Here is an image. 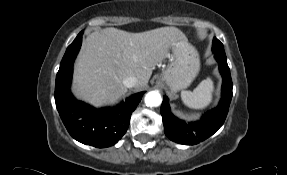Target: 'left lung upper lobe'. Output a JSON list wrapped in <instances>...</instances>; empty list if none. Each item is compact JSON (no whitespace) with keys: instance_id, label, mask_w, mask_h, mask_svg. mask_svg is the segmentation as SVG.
<instances>
[{"instance_id":"obj_1","label":"left lung upper lobe","mask_w":287,"mask_h":175,"mask_svg":"<svg viewBox=\"0 0 287 175\" xmlns=\"http://www.w3.org/2000/svg\"><path fill=\"white\" fill-rule=\"evenodd\" d=\"M212 49H213L214 52L224 53L225 54L223 44L215 37L213 39Z\"/></svg>"}]
</instances>
